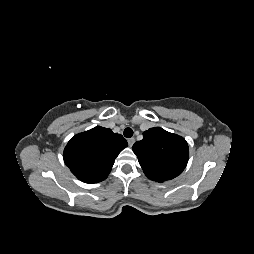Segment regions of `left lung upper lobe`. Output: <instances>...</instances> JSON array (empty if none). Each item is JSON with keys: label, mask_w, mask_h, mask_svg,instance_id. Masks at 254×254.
Returning <instances> with one entry per match:
<instances>
[{"label": "left lung upper lobe", "mask_w": 254, "mask_h": 254, "mask_svg": "<svg viewBox=\"0 0 254 254\" xmlns=\"http://www.w3.org/2000/svg\"><path fill=\"white\" fill-rule=\"evenodd\" d=\"M145 175L163 182L180 175L185 169L189 148L185 139L160 127L150 128L132 147Z\"/></svg>", "instance_id": "obj_1"}]
</instances>
